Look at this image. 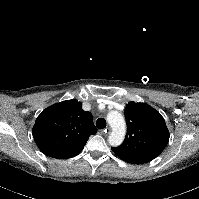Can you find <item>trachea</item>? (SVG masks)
<instances>
[{"instance_id": "3493384b", "label": "trachea", "mask_w": 199, "mask_h": 199, "mask_svg": "<svg viewBox=\"0 0 199 199\" xmlns=\"http://www.w3.org/2000/svg\"><path fill=\"white\" fill-rule=\"evenodd\" d=\"M96 126H97V128H99V129L105 128V127H106V121H105V119H103V118H98L97 121H96Z\"/></svg>"}]
</instances>
